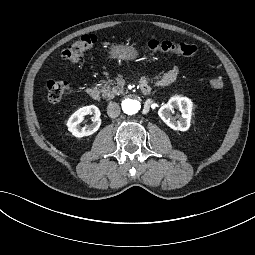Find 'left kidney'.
Masks as SVG:
<instances>
[{"instance_id":"1","label":"left kidney","mask_w":255,"mask_h":255,"mask_svg":"<svg viewBox=\"0 0 255 255\" xmlns=\"http://www.w3.org/2000/svg\"><path fill=\"white\" fill-rule=\"evenodd\" d=\"M174 109L181 112V115L173 117ZM192 111L191 101L187 98L173 97L167 104H164L158 111L159 117L173 130L187 131L190 127V116Z\"/></svg>"}]
</instances>
